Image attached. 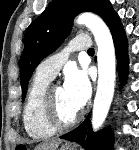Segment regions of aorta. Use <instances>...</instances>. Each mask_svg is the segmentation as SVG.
<instances>
[{"label":"aorta","instance_id":"762f6f07","mask_svg":"<svg viewBox=\"0 0 139 150\" xmlns=\"http://www.w3.org/2000/svg\"><path fill=\"white\" fill-rule=\"evenodd\" d=\"M77 24L86 25L94 35L98 51V86L92 112V128L97 131L103 125L114 95L116 78L115 48L111 32L96 14L85 12L76 19Z\"/></svg>","mask_w":139,"mask_h":150}]
</instances>
